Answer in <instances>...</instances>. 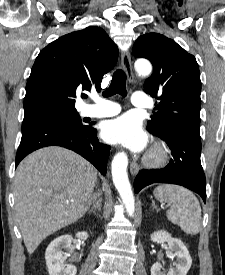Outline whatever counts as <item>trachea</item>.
<instances>
[{
    "mask_svg": "<svg viewBox=\"0 0 225 275\" xmlns=\"http://www.w3.org/2000/svg\"><path fill=\"white\" fill-rule=\"evenodd\" d=\"M115 94H119L123 97L127 96L126 74L121 69L114 72L110 86L103 92L104 97H110Z\"/></svg>",
    "mask_w": 225,
    "mask_h": 275,
    "instance_id": "1",
    "label": "trachea"
}]
</instances>
